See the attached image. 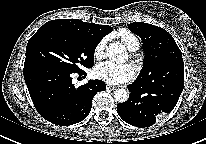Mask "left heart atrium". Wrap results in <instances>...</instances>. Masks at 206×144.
<instances>
[{
    "mask_svg": "<svg viewBox=\"0 0 206 144\" xmlns=\"http://www.w3.org/2000/svg\"><path fill=\"white\" fill-rule=\"evenodd\" d=\"M95 76L108 84H121L135 77V68L131 64L106 61L95 69Z\"/></svg>",
    "mask_w": 206,
    "mask_h": 144,
    "instance_id": "left-heart-atrium-1",
    "label": "left heart atrium"
}]
</instances>
